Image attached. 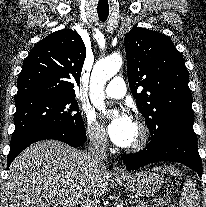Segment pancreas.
Returning <instances> with one entry per match:
<instances>
[{
  "instance_id": "cf45deb5",
  "label": "pancreas",
  "mask_w": 206,
  "mask_h": 207,
  "mask_svg": "<svg viewBox=\"0 0 206 207\" xmlns=\"http://www.w3.org/2000/svg\"><path fill=\"white\" fill-rule=\"evenodd\" d=\"M161 204V201L153 200L151 203L145 201H139L136 204V207H157V205Z\"/></svg>"
}]
</instances>
